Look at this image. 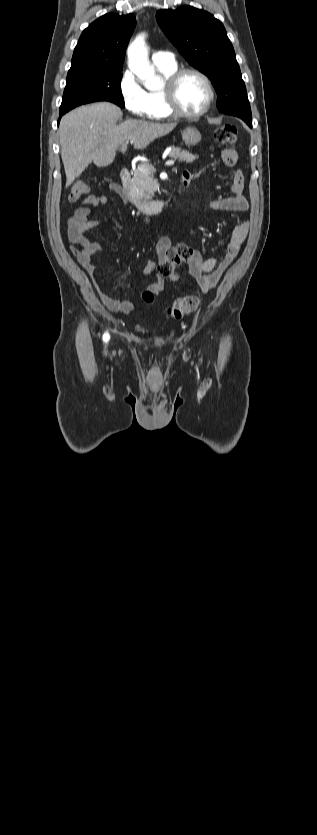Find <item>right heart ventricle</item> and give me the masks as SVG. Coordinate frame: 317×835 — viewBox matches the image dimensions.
Returning <instances> with one entry per match:
<instances>
[{
  "mask_svg": "<svg viewBox=\"0 0 317 835\" xmlns=\"http://www.w3.org/2000/svg\"><path fill=\"white\" fill-rule=\"evenodd\" d=\"M157 68L166 80L177 70V65L175 63L174 65L168 66H157ZM147 95L151 109V118L160 120L172 116L165 98L163 87L156 90H149Z\"/></svg>",
  "mask_w": 317,
  "mask_h": 835,
  "instance_id": "right-heart-ventricle-1",
  "label": "right heart ventricle"
}]
</instances>
